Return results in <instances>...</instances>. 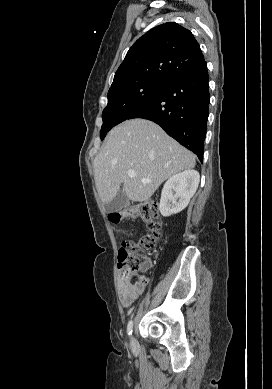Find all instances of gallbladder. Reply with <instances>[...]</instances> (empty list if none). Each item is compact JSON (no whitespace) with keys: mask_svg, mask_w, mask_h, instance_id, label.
<instances>
[{"mask_svg":"<svg viewBox=\"0 0 272 389\" xmlns=\"http://www.w3.org/2000/svg\"><path fill=\"white\" fill-rule=\"evenodd\" d=\"M129 202V198L125 194L123 188H121L116 196L108 203H105L106 211L109 213L122 211Z\"/></svg>","mask_w":272,"mask_h":389,"instance_id":"obj_1","label":"gallbladder"}]
</instances>
